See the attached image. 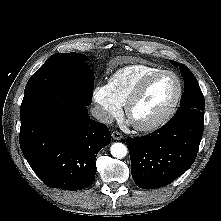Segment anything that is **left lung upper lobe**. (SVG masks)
Wrapping results in <instances>:
<instances>
[{
	"mask_svg": "<svg viewBox=\"0 0 221 221\" xmlns=\"http://www.w3.org/2000/svg\"><path fill=\"white\" fill-rule=\"evenodd\" d=\"M173 63L178 65L175 61H173ZM179 68L185 80V89L182 95L180 109L195 108L204 111L205 100L197 79L185 65L180 64Z\"/></svg>",
	"mask_w": 221,
	"mask_h": 221,
	"instance_id": "left-lung-upper-lobe-1",
	"label": "left lung upper lobe"
}]
</instances>
